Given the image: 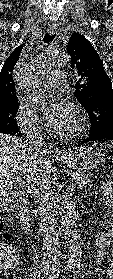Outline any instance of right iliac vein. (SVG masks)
I'll list each match as a JSON object with an SVG mask.
<instances>
[{"mask_svg": "<svg viewBox=\"0 0 113 279\" xmlns=\"http://www.w3.org/2000/svg\"><path fill=\"white\" fill-rule=\"evenodd\" d=\"M41 271H43L44 273L48 272L49 271V268L47 266H43L41 268Z\"/></svg>", "mask_w": 113, "mask_h": 279, "instance_id": "63e3f726", "label": "right iliac vein"}]
</instances>
